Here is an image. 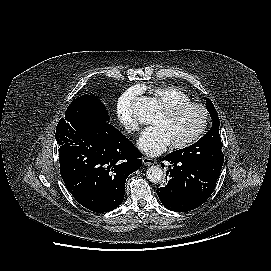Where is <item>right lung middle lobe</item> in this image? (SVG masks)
Masks as SVG:
<instances>
[{"label": "right lung middle lobe", "mask_w": 271, "mask_h": 271, "mask_svg": "<svg viewBox=\"0 0 271 271\" xmlns=\"http://www.w3.org/2000/svg\"><path fill=\"white\" fill-rule=\"evenodd\" d=\"M64 119L81 122H107L109 116L104 105L97 97L85 95L71 102Z\"/></svg>", "instance_id": "obj_1"}]
</instances>
